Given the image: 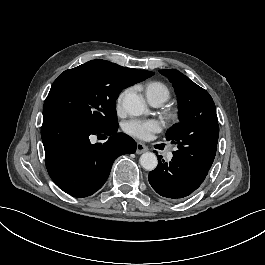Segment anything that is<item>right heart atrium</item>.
Returning a JSON list of instances; mask_svg holds the SVG:
<instances>
[{
    "instance_id": "obj_1",
    "label": "right heart atrium",
    "mask_w": 265,
    "mask_h": 265,
    "mask_svg": "<svg viewBox=\"0 0 265 265\" xmlns=\"http://www.w3.org/2000/svg\"><path fill=\"white\" fill-rule=\"evenodd\" d=\"M116 116H117V118H119V119H124V118H126V116H127V111H126V109H124V108H119V109H117V111H116Z\"/></svg>"
}]
</instances>
